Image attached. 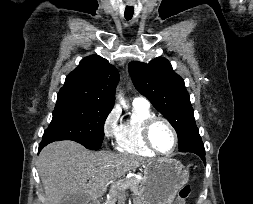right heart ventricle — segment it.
<instances>
[{
	"mask_svg": "<svg viewBox=\"0 0 253 204\" xmlns=\"http://www.w3.org/2000/svg\"><path fill=\"white\" fill-rule=\"evenodd\" d=\"M153 116L149 107L133 104L132 115L120 124L116 139L117 150L141 157H153L155 153L147 148L142 138L143 124Z\"/></svg>",
	"mask_w": 253,
	"mask_h": 204,
	"instance_id": "right-heart-ventricle-1",
	"label": "right heart ventricle"
}]
</instances>
